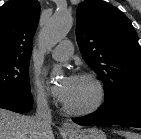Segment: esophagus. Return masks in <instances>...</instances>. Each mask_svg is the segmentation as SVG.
Instances as JSON below:
<instances>
[{"instance_id": "obj_1", "label": "esophagus", "mask_w": 141, "mask_h": 139, "mask_svg": "<svg viewBox=\"0 0 141 139\" xmlns=\"http://www.w3.org/2000/svg\"><path fill=\"white\" fill-rule=\"evenodd\" d=\"M62 129L66 131L73 130V126L71 123L66 121L62 124Z\"/></svg>"}]
</instances>
